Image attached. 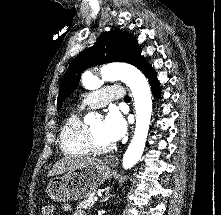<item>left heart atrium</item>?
I'll return each instance as SVG.
<instances>
[{
	"mask_svg": "<svg viewBox=\"0 0 221 215\" xmlns=\"http://www.w3.org/2000/svg\"><path fill=\"white\" fill-rule=\"evenodd\" d=\"M126 132V123L123 117L115 110L110 111L102 125V135L109 143L120 140Z\"/></svg>",
	"mask_w": 221,
	"mask_h": 215,
	"instance_id": "obj_1",
	"label": "left heart atrium"
}]
</instances>
